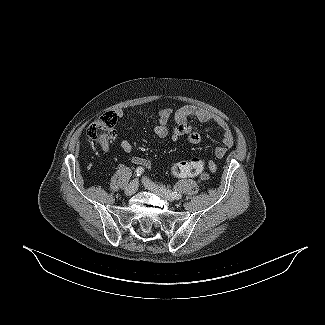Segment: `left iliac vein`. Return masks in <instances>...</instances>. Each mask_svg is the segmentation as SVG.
<instances>
[{
	"label": "left iliac vein",
	"instance_id": "4c4485c4",
	"mask_svg": "<svg viewBox=\"0 0 325 325\" xmlns=\"http://www.w3.org/2000/svg\"><path fill=\"white\" fill-rule=\"evenodd\" d=\"M142 182L148 190L156 193L157 195H159L171 202L175 200V198H173L170 194L166 193L163 189H161L158 185H156L155 183L150 181L148 178L144 177L142 179Z\"/></svg>",
	"mask_w": 325,
	"mask_h": 325
}]
</instances>
